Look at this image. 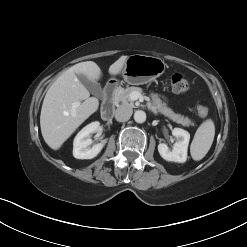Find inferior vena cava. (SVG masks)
<instances>
[{
  "mask_svg": "<svg viewBox=\"0 0 247 247\" xmlns=\"http://www.w3.org/2000/svg\"><path fill=\"white\" fill-rule=\"evenodd\" d=\"M133 113V109L128 105H122L116 109L115 119L119 122H125L129 120Z\"/></svg>",
  "mask_w": 247,
  "mask_h": 247,
  "instance_id": "obj_1",
  "label": "inferior vena cava"
}]
</instances>
